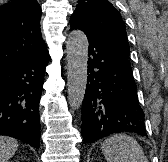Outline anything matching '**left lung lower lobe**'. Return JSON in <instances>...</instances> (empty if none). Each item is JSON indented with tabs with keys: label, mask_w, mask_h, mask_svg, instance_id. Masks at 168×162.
I'll return each mask as SVG.
<instances>
[{
	"label": "left lung lower lobe",
	"mask_w": 168,
	"mask_h": 162,
	"mask_svg": "<svg viewBox=\"0 0 168 162\" xmlns=\"http://www.w3.org/2000/svg\"><path fill=\"white\" fill-rule=\"evenodd\" d=\"M71 29L84 31L89 41L81 125L84 142L93 143L120 132L147 136L129 54L90 34L83 25H73Z\"/></svg>",
	"instance_id": "obj_1"
}]
</instances>
